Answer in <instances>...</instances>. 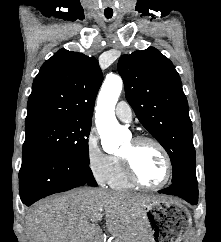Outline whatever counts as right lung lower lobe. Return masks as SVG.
I'll list each match as a JSON object with an SVG mask.
<instances>
[{
  "label": "right lung lower lobe",
  "instance_id": "98d812e1",
  "mask_svg": "<svg viewBox=\"0 0 221 242\" xmlns=\"http://www.w3.org/2000/svg\"><path fill=\"white\" fill-rule=\"evenodd\" d=\"M85 184L97 185L88 164L46 150L23 152L19 191L26 206L48 195Z\"/></svg>",
  "mask_w": 221,
  "mask_h": 242
}]
</instances>
